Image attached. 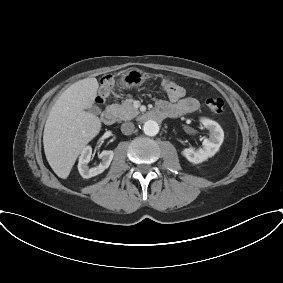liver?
Wrapping results in <instances>:
<instances>
[{"mask_svg":"<svg viewBox=\"0 0 283 283\" xmlns=\"http://www.w3.org/2000/svg\"><path fill=\"white\" fill-rule=\"evenodd\" d=\"M98 88L94 77L77 81L61 94L47 118L44 152L49 165L62 179L69 176L81 151L101 129L99 117L85 111L93 106Z\"/></svg>","mask_w":283,"mask_h":283,"instance_id":"obj_1","label":"liver"}]
</instances>
